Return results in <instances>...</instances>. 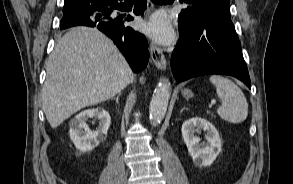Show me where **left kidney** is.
<instances>
[{
  "label": "left kidney",
  "mask_w": 293,
  "mask_h": 184,
  "mask_svg": "<svg viewBox=\"0 0 293 184\" xmlns=\"http://www.w3.org/2000/svg\"><path fill=\"white\" fill-rule=\"evenodd\" d=\"M206 132V142L200 144L195 133ZM182 137L188 152L196 166H210L222 150V143L217 129L206 119L192 117L182 124Z\"/></svg>",
  "instance_id": "left-kidney-1"
}]
</instances>
